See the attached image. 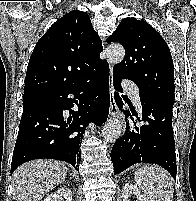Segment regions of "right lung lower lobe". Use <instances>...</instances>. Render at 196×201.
I'll return each instance as SVG.
<instances>
[{
    "mask_svg": "<svg viewBox=\"0 0 196 201\" xmlns=\"http://www.w3.org/2000/svg\"><path fill=\"white\" fill-rule=\"evenodd\" d=\"M75 104L78 111L71 110ZM109 104L106 61L72 84L23 101L11 173L21 164L40 158L66 161L79 171L85 128L90 122L103 124ZM64 110H69L68 118Z\"/></svg>",
    "mask_w": 196,
    "mask_h": 201,
    "instance_id": "1",
    "label": "right lung lower lobe"
}]
</instances>
